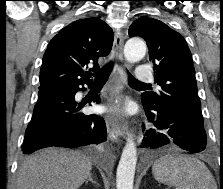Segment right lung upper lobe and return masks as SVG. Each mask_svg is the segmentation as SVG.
Returning a JSON list of instances; mask_svg holds the SVG:
<instances>
[{"label": "right lung upper lobe", "mask_w": 223, "mask_h": 189, "mask_svg": "<svg viewBox=\"0 0 223 189\" xmlns=\"http://www.w3.org/2000/svg\"><path fill=\"white\" fill-rule=\"evenodd\" d=\"M113 44V31L101 19L72 22L52 38L40 69L39 91L91 85L90 71L99 69L98 58L107 56ZM93 64L90 71H86Z\"/></svg>", "instance_id": "obj_1"}]
</instances>
